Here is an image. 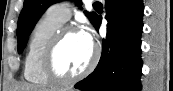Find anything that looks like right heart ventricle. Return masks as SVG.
Segmentation results:
<instances>
[{"mask_svg":"<svg viewBox=\"0 0 173 91\" xmlns=\"http://www.w3.org/2000/svg\"><path fill=\"white\" fill-rule=\"evenodd\" d=\"M62 25L63 23L50 11H47L35 24L24 60V77L28 82L39 86L51 83L41 71V57L46 44Z\"/></svg>","mask_w":173,"mask_h":91,"instance_id":"right-heart-ventricle-1","label":"right heart ventricle"}]
</instances>
